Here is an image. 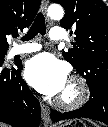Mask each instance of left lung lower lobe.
I'll list each match as a JSON object with an SVG mask.
<instances>
[{
  "label": "left lung lower lobe",
  "instance_id": "left-lung-lower-lobe-1",
  "mask_svg": "<svg viewBox=\"0 0 108 127\" xmlns=\"http://www.w3.org/2000/svg\"><path fill=\"white\" fill-rule=\"evenodd\" d=\"M106 63L108 58H104ZM91 97L80 109L61 113L56 110L51 112V119L57 122L64 119L90 118L101 121L108 125V86L104 83L94 84L89 87Z\"/></svg>",
  "mask_w": 108,
  "mask_h": 127
}]
</instances>
